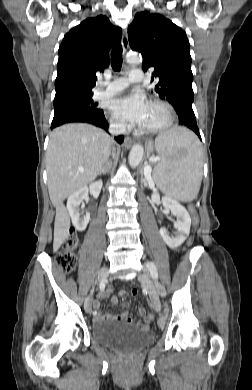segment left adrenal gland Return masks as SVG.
Returning <instances> with one entry per match:
<instances>
[{
  "mask_svg": "<svg viewBox=\"0 0 252 390\" xmlns=\"http://www.w3.org/2000/svg\"><path fill=\"white\" fill-rule=\"evenodd\" d=\"M141 181L144 182V186H147L148 185V181H147V178H143V174L141 175Z\"/></svg>",
  "mask_w": 252,
  "mask_h": 390,
  "instance_id": "a2214340",
  "label": "left adrenal gland"
}]
</instances>
